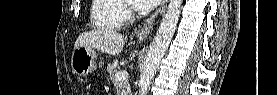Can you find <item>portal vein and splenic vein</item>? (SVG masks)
<instances>
[{"label":"portal vein and splenic vein","mask_w":277,"mask_h":95,"mask_svg":"<svg viewBox=\"0 0 277 95\" xmlns=\"http://www.w3.org/2000/svg\"><path fill=\"white\" fill-rule=\"evenodd\" d=\"M128 77V73L125 70L119 71L115 74V79L117 81H123Z\"/></svg>","instance_id":"1"}]
</instances>
